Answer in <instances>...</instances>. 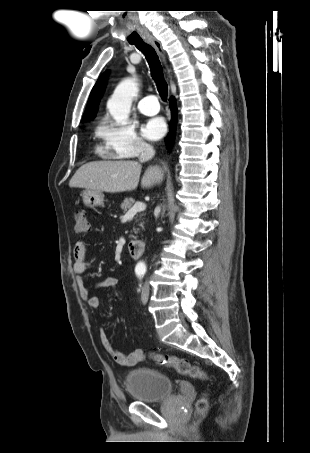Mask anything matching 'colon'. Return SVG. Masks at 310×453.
Instances as JSON below:
<instances>
[{"mask_svg": "<svg viewBox=\"0 0 310 453\" xmlns=\"http://www.w3.org/2000/svg\"><path fill=\"white\" fill-rule=\"evenodd\" d=\"M89 229V223L85 212L80 211L75 215V231L84 233ZM150 357L161 366L173 367L180 374L190 376L196 379H205L206 373L199 366L191 364L187 359L176 356H164L156 353H151ZM208 401L202 397L197 402L198 412H203L207 408Z\"/></svg>", "mask_w": 310, "mask_h": 453, "instance_id": "5ec220e1", "label": "colon"}]
</instances>
